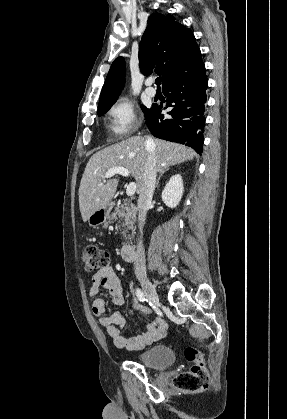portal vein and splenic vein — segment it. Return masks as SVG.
<instances>
[{
    "mask_svg": "<svg viewBox=\"0 0 287 419\" xmlns=\"http://www.w3.org/2000/svg\"><path fill=\"white\" fill-rule=\"evenodd\" d=\"M116 174H119V175L124 176V177H128L130 175V172H129L128 169H126L124 167L111 168L104 174L103 179L105 181V179L111 178L112 176H114ZM135 191H136V183L135 182L129 183V185L127 186V189H126V195L127 196H132V195H134Z\"/></svg>",
    "mask_w": 287,
    "mask_h": 419,
    "instance_id": "18ae733b",
    "label": "portal vein and splenic vein"
}]
</instances>
